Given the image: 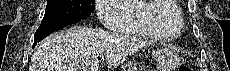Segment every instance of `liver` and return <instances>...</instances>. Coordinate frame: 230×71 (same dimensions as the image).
<instances>
[{"label": "liver", "mask_w": 230, "mask_h": 71, "mask_svg": "<svg viewBox=\"0 0 230 71\" xmlns=\"http://www.w3.org/2000/svg\"><path fill=\"white\" fill-rule=\"evenodd\" d=\"M150 44L138 37L75 26L40 42L29 71H83L103 55L108 68H116Z\"/></svg>", "instance_id": "1"}]
</instances>
